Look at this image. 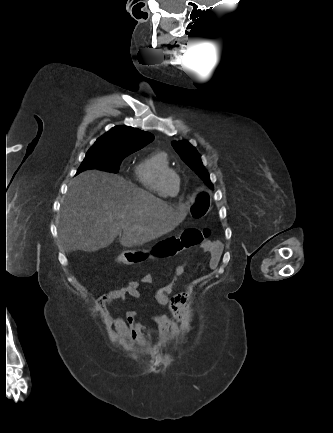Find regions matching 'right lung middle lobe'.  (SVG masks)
Listing matches in <instances>:
<instances>
[{
  "label": "right lung middle lobe",
  "instance_id": "right-lung-middle-lobe-1",
  "mask_svg": "<svg viewBox=\"0 0 333 433\" xmlns=\"http://www.w3.org/2000/svg\"><path fill=\"white\" fill-rule=\"evenodd\" d=\"M128 155L130 154L103 147H91L80 165L77 174L87 169H100L117 173L122 160Z\"/></svg>",
  "mask_w": 333,
  "mask_h": 433
}]
</instances>
